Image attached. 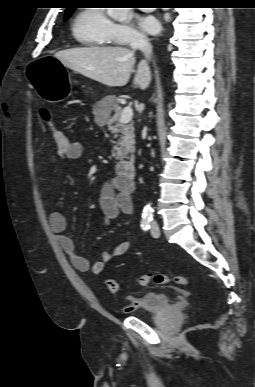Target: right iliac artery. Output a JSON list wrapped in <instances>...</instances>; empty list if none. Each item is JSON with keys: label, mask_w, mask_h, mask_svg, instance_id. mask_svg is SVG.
I'll return each instance as SVG.
<instances>
[{"label": "right iliac artery", "mask_w": 255, "mask_h": 387, "mask_svg": "<svg viewBox=\"0 0 255 387\" xmlns=\"http://www.w3.org/2000/svg\"><path fill=\"white\" fill-rule=\"evenodd\" d=\"M152 219L148 217H143L141 220V228L144 231H147L150 229Z\"/></svg>", "instance_id": "82829eb1"}]
</instances>
